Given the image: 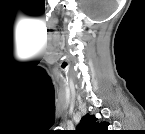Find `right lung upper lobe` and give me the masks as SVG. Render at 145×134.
Here are the masks:
<instances>
[{
	"instance_id": "right-lung-upper-lobe-1",
	"label": "right lung upper lobe",
	"mask_w": 145,
	"mask_h": 134,
	"mask_svg": "<svg viewBox=\"0 0 145 134\" xmlns=\"http://www.w3.org/2000/svg\"><path fill=\"white\" fill-rule=\"evenodd\" d=\"M107 122H100L94 115L86 114L77 126L79 134H109Z\"/></svg>"
}]
</instances>
